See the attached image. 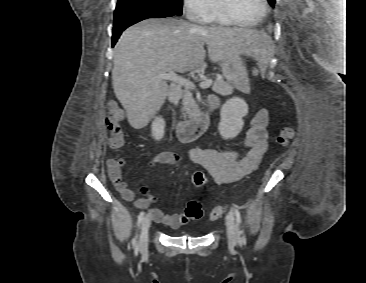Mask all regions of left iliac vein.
Returning a JSON list of instances; mask_svg holds the SVG:
<instances>
[{
    "instance_id": "left-iliac-vein-1",
    "label": "left iliac vein",
    "mask_w": 366,
    "mask_h": 283,
    "mask_svg": "<svg viewBox=\"0 0 366 283\" xmlns=\"http://www.w3.org/2000/svg\"><path fill=\"white\" fill-rule=\"evenodd\" d=\"M226 227L229 246L234 247L237 244L238 236L235 220L231 211L226 215Z\"/></svg>"
}]
</instances>
